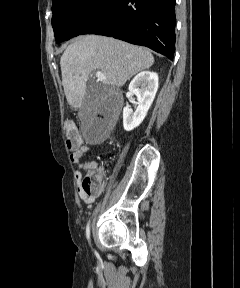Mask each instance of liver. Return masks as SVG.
Returning <instances> with one entry per match:
<instances>
[{
    "label": "liver",
    "instance_id": "6515ba94",
    "mask_svg": "<svg viewBox=\"0 0 240 288\" xmlns=\"http://www.w3.org/2000/svg\"><path fill=\"white\" fill-rule=\"evenodd\" d=\"M153 64L151 52L141 47L104 36H80L60 59L66 99L72 107H82L87 81L93 71L104 73V85L121 87Z\"/></svg>",
    "mask_w": 240,
    "mask_h": 288
}]
</instances>
